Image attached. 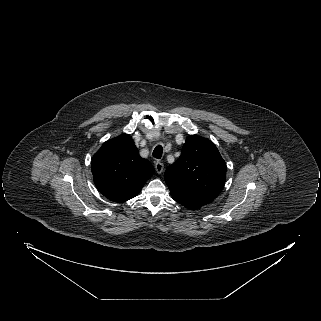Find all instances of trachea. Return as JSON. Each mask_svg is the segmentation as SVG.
Listing matches in <instances>:
<instances>
[{"label": "trachea", "instance_id": "1", "mask_svg": "<svg viewBox=\"0 0 321 321\" xmlns=\"http://www.w3.org/2000/svg\"><path fill=\"white\" fill-rule=\"evenodd\" d=\"M163 153V148L161 145H158L155 147L154 151H153V157H155L156 159H160Z\"/></svg>", "mask_w": 321, "mask_h": 321}]
</instances>
